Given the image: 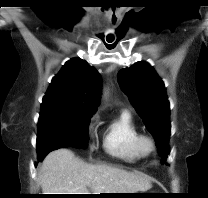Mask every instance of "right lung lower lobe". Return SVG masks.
Listing matches in <instances>:
<instances>
[{"label":"right lung lower lobe","instance_id":"obj_1","mask_svg":"<svg viewBox=\"0 0 208 198\" xmlns=\"http://www.w3.org/2000/svg\"><path fill=\"white\" fill-rule=\"evenodd\" d=\"M66 147H68V146L61 145V146L56 147L54 150L59 149V148H66ZM41 160L42 159H39V161H41Z\"/></svg>","mask_w":208,"mask_h":198}]
</instances>
